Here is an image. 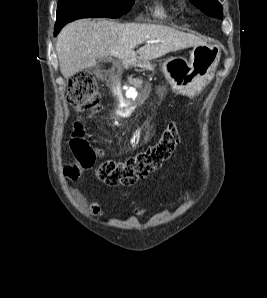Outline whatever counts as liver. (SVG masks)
I'll list each match as a JSON object with an SVG mask.
<instances>
[{
  "label": "liver",
  "instance_id": "6515ba94",
  "mask_svg": "<svg viewBox=\"0 0 267 298\" xmlns=\"http://www.w3.org/2000/svg\"><path fill=\"white\" fill-rule=\"evenodd\" d=\"M145 42L134 51L136 45ZM204 44L206 41L193 34L165 25L80 19L61 30L56 52L63 77L70 78L83 69L93 67L98 58L114 56L128 62L138 54L139 58L148 61L169 52Z\"/></svg>",
  "mask_w": 267,
  "mask_h": 298
}]
</instances>
